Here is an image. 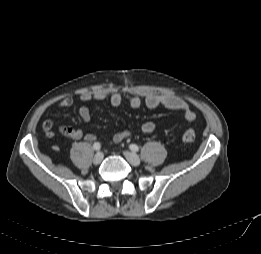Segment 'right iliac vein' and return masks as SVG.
I'll list each match as a JSON object with an SVG mask.
<instances>
[{"mask_svg":"<svg viewBox=\"0 0 261 254\" xmlns=\"http://www.w3.org/2000/svg\"><path fill=\"white\" fill-rule=\"evenodd\" d=\"M103 160V153L102 152H97L93 158V163L95 165H98L102 162Z\"/></svg>","mask_w":261,"mask_h":254,"instance_id":"1","label":"right iliac vein"}]
</instances>
